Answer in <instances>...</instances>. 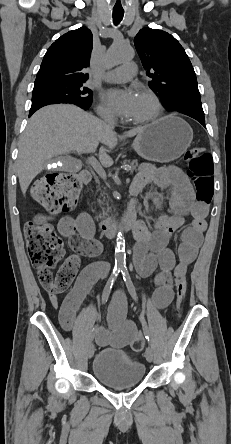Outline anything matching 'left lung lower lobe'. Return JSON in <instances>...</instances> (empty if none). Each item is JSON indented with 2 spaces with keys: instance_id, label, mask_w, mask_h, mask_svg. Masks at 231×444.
<instances>
[{
  "instance_id": "0a47b994",
  "label": "left lung lower lobe",
  "mask_w": 231,
  "mask_h": 444,
  "mask_svg": "<svg viewBox=\"0 0 231 444\" xmlns=\"http://www.w3.org/2000/svg\"><path fill=\"white\" fill-rule=\"evenodd\" d=\"M191 117L196 119L197 121H199L205 127V119H204V117H197V116H191Z\"/></svg>"
}]
</instances>
